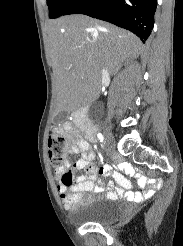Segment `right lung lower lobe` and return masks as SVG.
<instances>
[{"label":"right lung lower lobe","mask_w":183,"mask_h":246,"mask_svg":"<svg viewBox=\"0 0 183 246\" xmlns=\"http://www.w3.org/2000/svg\"><path fill=\"white\" fill-rule=\"evenodd\" d=\"M157 0H75L63 14H85L125 28L143 43L154 26Z\"/></svg>","instance_id":"98d812e1"}]
</instances>
